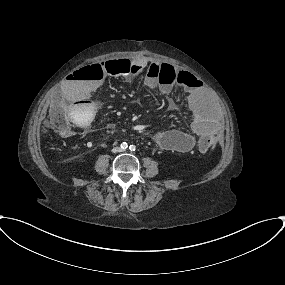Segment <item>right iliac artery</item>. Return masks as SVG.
Returning a JSON list of instances; mask_svg holds the SVG:
<instances>
[{
  "mask_svg": "<svg viewBox=\"0 0 285 285\" xmlns=\"http://www.w3.org/2000/svg\"><path fill=\"white\" fill-rule=\"evenodd\" d=\"M121 148H122V149H127V148H128V144H127L126 142H123V143L121 144Z\"/></svg>",
  "mask_w": 285,
  "mask_h": 285,
  "instance_id": "1",
  "label": "right iliac artery"
}]
</instances>
